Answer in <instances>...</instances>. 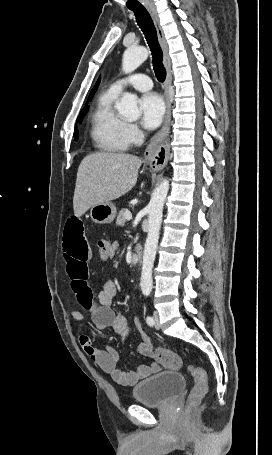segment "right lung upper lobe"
Instances as JSON below:
<instances>
[{
	"mask_svg": "<svg viewBox=\"0 0 272 455\" xmlns=\"http://www.w3.org/2000/svg\"><path fill=\"white\" fill-rule=\"evenodd\" d=\"M99 83H100V78L98 79L96 85H95L94 88L92 89V91H91V93H90V95H89L88 101L92 99L94 93L96 92V90H97V88H98Z\"/></svg>",
	"mask_w": 272,
	"mask_h": 455,
	"instance_id": "1",
	"label": "right lung upper lobe"
}]
</instances>
